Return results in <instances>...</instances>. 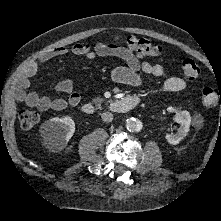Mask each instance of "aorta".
Listing matches in <instances>:
<instances>
[{"label": "aorta", "mask_w": 221, "mask_h": 221, "mask_svg": "<svg viewBox=\"0 0 221 221\" xmlns=\"http://www.w3.org/2000/svg\"><path fill=\"white\" fill-rule=\"evenodd\" d=\"M125 127L130 132H139L142 129L143 124L140 120L132 117L125 121Z\"/></svg>", "instance_id": "762f6f07"}]
</instances>
